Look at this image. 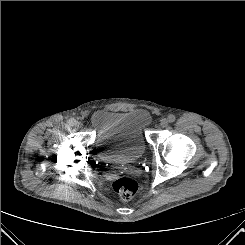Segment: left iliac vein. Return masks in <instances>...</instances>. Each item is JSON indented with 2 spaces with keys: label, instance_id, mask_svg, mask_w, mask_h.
<instances>
[{
  "label": "left iliac vein",
  "instance_id": "4c4485c4",
  "mask_svg": "<svg viewBox=\"0 0 245 245\" xmlns=\"http://www.w3.org/2000/svg\"><path fill=\"white\" fill-rule=\"evenodd\" d=\"M168 122L169 121L166 118H163L160 121V126L164 128V127H166L168 125Z\"/></svg>",
  "mask_w": 245,
  "mask_h": 245
}]
</instances>
